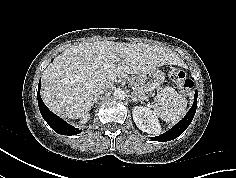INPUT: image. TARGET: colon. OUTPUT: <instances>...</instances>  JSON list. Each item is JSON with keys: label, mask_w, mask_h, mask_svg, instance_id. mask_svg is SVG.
<instances>
[{"label": "colon", "mask_w": 236, "mask_h": 178, "mask_svg": "<svg viewBox=\"0 0 236 178\" xmlns=\"http://www.w3.org/2000/svg\"><path fill=\"white\" fill-rule=\"evenodd\" d=\"M169 78L171 81L178 84L179 91L183 95H188L194 87L193 79L184 71L177 68H171L169 70Z\"/></svg>", "instance_id": "1"}]
</instances>
